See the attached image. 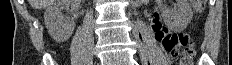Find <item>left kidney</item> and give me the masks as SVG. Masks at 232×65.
Wrapping results in <instances>:
<instances>
[{
    "mask_svg": "<svg viewBox=\"0 0 232 65\" xmlns=\"http://www.w3.org/2000/svg\"><path fill=\"white\" fill-rule=\"evenodd\" d=\"M163 17L171 30L183 31L191 22L193 11L187 0H176L174 9H167Z\"/></svg>",
    "mask_w": 232,
    "mask_h": 65,
    "instance_id": "5707ae66",
    "label": "left kidney"
}]
</instances>
